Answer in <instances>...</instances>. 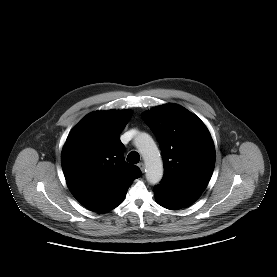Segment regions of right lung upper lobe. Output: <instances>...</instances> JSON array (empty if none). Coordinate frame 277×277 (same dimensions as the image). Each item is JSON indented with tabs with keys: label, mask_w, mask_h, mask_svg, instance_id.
<instances>
[{
	"label": "right lung upper lobe",
	"mask_w": 277,
	"mask_h": 277,
	"mask_svg": "<svg viewBox=\"0 0 277 277\" xmlns=\"http://www.w3.org/2000/svg\"><path fill=\"white\" fill-rule=\"evenodd\" d=\"M131 118L128 111H97L85 116L70 132L61 164L74 197L91 211L104 213L141 176L124 160L120 133Z\"/></svg>",
	"instance_id": "obj_1"
}]
</instances>
